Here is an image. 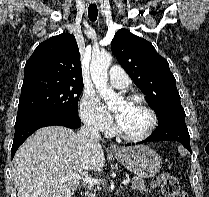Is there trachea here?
Here are the masks:
<instances>
[{"label": "trachea", "instance_id": "trachea-1", "mask_svg": "<svg viewBox=\"0 0 209 197\" xmlns=\"http://www.w3.org/2000/svg\"><path fill=\"white\" fill-rule=\"evenodd\" d=\"M98 16V9L96 4H91L88 7V17L92 22H95Z\"/></svg>", "mask_w": 209, "mask_h": 197}]
</instances>
